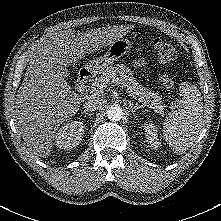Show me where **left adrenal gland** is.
I'll use <instances>...</instances> for the list:
<instances>
[{"mask_svg":"<svg viewBox=\"0 0 221 221\" xmlns=\"http://www.w3.org/2000/svg\"><path fill=\"white\" fill-rule=\"evenodd\" d=\"M129 108L131 109L132 113L135 114V112L142 108V106H140L138 103L133 104L132 102H129Z\"/></svg>","mask_w":221,"mask_h":221,"instance_id":"a2214340","label":"left adrenal gland"}]
</instances>
